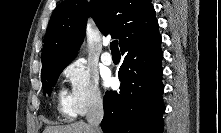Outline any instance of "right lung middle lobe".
Instances as JSON below:
<instances>
[{
	"label": "right lung middle lobe",
	"mask_w": 221,
	"mask_h": 133,
	"mask_svg": "<svg viewBox=\"0 0 221 133\" xmlns=\"http://www.w3.org/2000/svg\"><path fill=\"white\" fill-rule=\"evenodd\" d=\"M70 62H63L57 64H50L42 68L41 75L43 81V90L44 93H48L50 95L52 87L57 82V79L62 72V70L69 64Z\"/></svg>",
	"instance_id": "1"
}]
</instances>
